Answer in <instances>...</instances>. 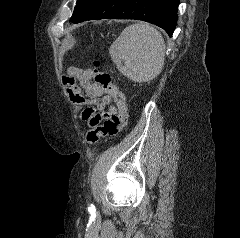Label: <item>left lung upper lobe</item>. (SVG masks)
Listing matches in <instances>:
<instances>
[{
    "instance_id": "left-lung-upper-lobe-1",
    "label": "left lung upper lobe",
    "mask_w": 240,
    "mask_h": 238,
    "mask_svg": "<svg viewBox=\"0 0 240 238\" xmlns=\"http://www.w3.org/2000/svg\"><path fill=\"white\" fill-rule=\"evenodd\" d=\"M91 0H77L73 15L70 21L77 19L84 12Z\"/></svg>"
}]
</instances>
